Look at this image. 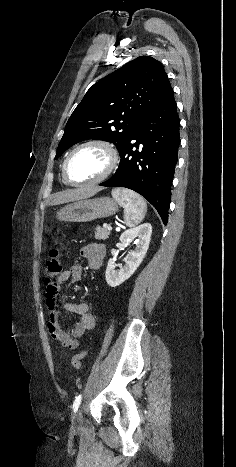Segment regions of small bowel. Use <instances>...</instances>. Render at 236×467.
<instances>
[{
  "mask_svg": "<svg viewBox=\"0 0 236 467\" xmlns=\"http://www.w3.org/2000/svg\"><path fill=\"white\" fill-rule=\"evenodd\" d=\"M82 255L87 259L88 266L91 270H99L102 267L106 248L103 244L92 243L86 245L81 250ZM83 276V268L79 264L72 265L64 270L57 280L48 285L45 293L46 305L48 310V331L50 336L60 342L64 347L74 350L80 346V340L87 333L92 331L96 325L94 315L90 310L88 303H73L64 302L63 308L72 313L79 315V320L74 325L70 333L63 330L59 321V307L57 297L60 293L63 283L70 281L71 283L79 282Z\"/></svg>",
  "mask_w": 236,
  "mask_h": 467,
  "instance_id": "obj_1",
  "label": "small bowel"
}]
</instances>
